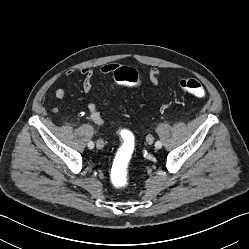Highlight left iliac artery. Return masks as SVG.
<instances>
[{
    "label": "left iliac artery",
    "mask_w": 249,
    "mask_h": 249,
    "mask_svg": "<svg viewBox=\"0 0 249 249\" xmlns=\"http://www.w3.org/2000/svg\"><path fill=\"white\" fill-rule=\"evenodd\" d=\"M155 147L158 148V149L161 148L162 147V143L160 141H157L155 143Z\"/></svg>",
    "instance_id": "1"
}]
</instances>
